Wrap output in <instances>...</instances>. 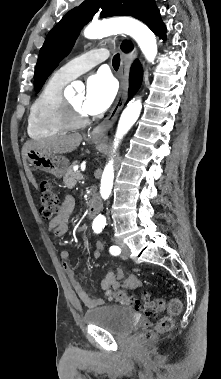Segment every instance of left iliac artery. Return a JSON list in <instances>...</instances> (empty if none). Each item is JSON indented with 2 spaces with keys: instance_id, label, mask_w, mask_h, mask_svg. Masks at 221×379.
I'll return each mask as SVG.
<instances>
[{
  "instance_id": "left-iliac-artery-1",
  "label": "left iliac artery",
  "mask_w": 221,
  "mask_h": 379,
  "mask_svg": "<svg viewBox=\"0 0 221 379\" xmlns=\"http://www.w3.org/2000/svg\"><path fill=\"white\" fill-rule=\"evenodd\" d=\"M102 231V228H100V227H96V228H94V232L95 233H100ZM109 252L112 254V255H119L120 254V252H121V249L118 247V246H111L110 248H109Z\"/></svg>"
}]
</instances>
